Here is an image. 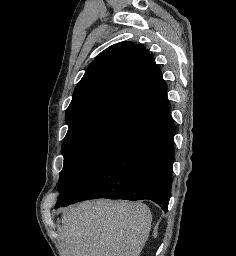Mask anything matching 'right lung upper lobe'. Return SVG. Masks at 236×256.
Wrapping results in <instances>:
<instances>
[{
    "label": "right lung upper lobe",
    "instance_id": "cb5924a9",
    "mask_svg": "<svg viewBox=\"0 0 236 256\" xmlns=\"http://www.w3.org/2000/svg\"><path fill=\"white\" fill-rule=\"evenodd\" d=\"M127 113L151 123L169 114L165 83L153 55L121 42L100 53L75 87L66 110L74 124L109 113Z\"/></svg>",
    "mask_w": 236,
    "mask_h": 256
}]
</instances>
